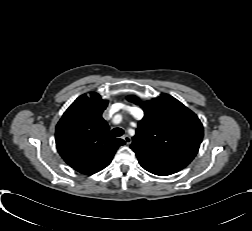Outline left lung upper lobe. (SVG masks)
I'll list each match as a JSON object with an SVG mask.
<instances>
[{
	"label": "left lung upper lobe",
	"instance_id": "left-lung-upper-lobe-1",
	"mask_svg": "<svg viewBox=\"0 0 252 231\" xmlns=\"http://www.w3.org/2000/svg\"><path fill=\"white\" fill-rule=\"evenodd\" d=\"M128 100L144 110L130 145L138 159L184 164L193 160L203 139V126L195 113L167 94L147 102L135 96Z\"/></svg>",
	"mask_w": 252,
	"mask_h": 231
}]
</instances>
